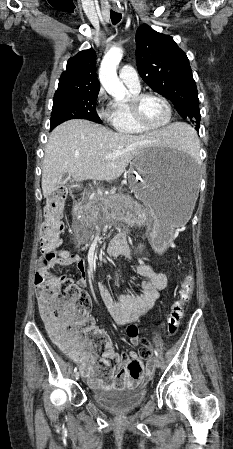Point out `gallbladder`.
Listing matches in <instances>:
<instances>
[{"mask_svg":"<svg viewBox=\"0 0 233 449\" xmlns=\"http://www.w3.org/2000/svg\"><path fill=\"white\" fill-rule=\"evenodd\" d=\"M68 179H69V177H63V179L61 180V184L60 185H63ZM55 194H57V195H64L65 192L60 190V189H57Z\"/></svg>","mask_w":233,"mask_h":449,"instance_id":"1","label":"gallbladder"}]
</instances>
